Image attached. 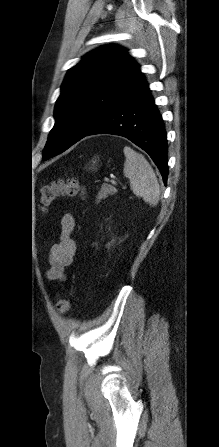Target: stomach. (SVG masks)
<instances>
[{
	"instance_id": "obj_1",
	"label": "stomach",
	"mask_w": 219,
	"mask_h": 447,
	"mask_svg": "<svg viewBox=\"0 0 219 447\" xmlns=\"http://www.w3.org/2000/svg\"><path fill=\"white\" fill-rule=\"evenodd\" d=\"M93 162V164H92V169H94V164L96 163V161H92Z\"/></svg>"
}]
</instances>
